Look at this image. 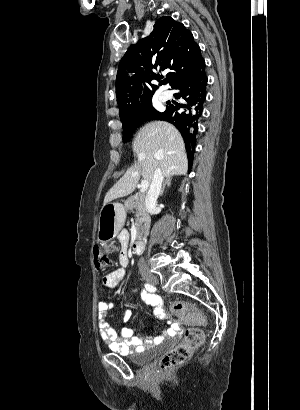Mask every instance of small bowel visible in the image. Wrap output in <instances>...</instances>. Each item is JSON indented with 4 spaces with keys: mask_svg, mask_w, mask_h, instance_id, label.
Returning a JSON list of instances; mask_svg holds the SVG:
<instances>
[{
    "mask_svg": "<svg viewBox=\"0 0 300 410\" xmlns=\"http://www.w3.org/2000/svg\"><path fill=\"white\" fill-rule=\"evenodd\" d=\"M118 238L121 244L119 252V262L121 267L113 270L101 279V285L111 289L118 287L122 283L126 275L125 267L129 262L128 235L127 233L122 232ZM133 294H139L141 299L152 309L154 315L161 320H167L171 324V328L153 338L143 336L135 328L127 325L133 312L131 308H126L122 318L123 327L120 332L117 333L116 330L109 326L106 321V315L107 312L115 308L118 303L115 301L98 302V326L101 339L111 350L125 355L140 352L150 345L159 342L165 336L175 334L180 329L178 324L169 320L167 313L162 307L160 296L140 290H134Z\"/></svg>",
    "mask_w": 300,
    "mask_h": 410,
    "instance_id": "c3829d8e",
    "label": "small bowel"
}]
</instances>
